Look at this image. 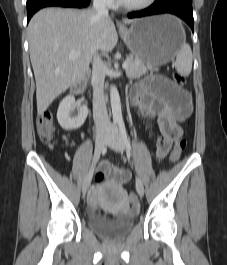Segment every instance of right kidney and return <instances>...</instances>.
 Segmentation results:
<instances>
[{"mask_svg":"<svg viewBox=\"0 0 227 265\" xmlns=\"http://www.w3.org/2000/svg\"><path fill=\"white\" fill-rule=\"evenodd\" d=\"M75 106V98L73 96L65 97L59 104L57 111V120L60 126L65 130L78 129L85 122L88 115V108L85 105L79 107L78 115L71 116V111Z\"/></svg>","mask_w":227,"mask_h":265,"instance_id":"right-kidney-1","label":"right kidney"}]
</instances>
